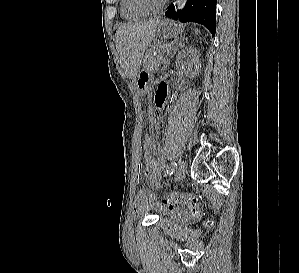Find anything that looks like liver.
I'll return each instance as SVG.
<instances>
[{
	"label": "liver",
	"mask_w": 299,
	"mask_h": 273,
	"mask_svg": "<svg viewBox=\"0 0 299 273\" xmlns=\"http://www.w3.org/2000/svg\"><path fill=\"white\" fill-rule=\"evenodd\" d=\"M159 19L124 23L116 31L115 45L129 75L136 78L145 50L155 38Z\"/></svg>",
	"instance_id": "1"
}]
</instances>
